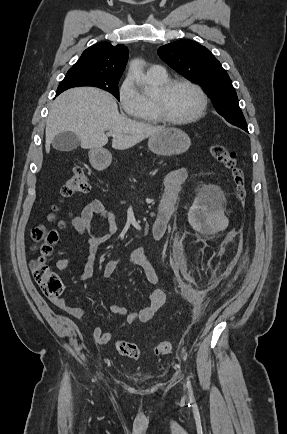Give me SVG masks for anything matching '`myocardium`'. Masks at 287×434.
Returning a JSON list of instances; mask_svg holds the SVG:
<instances>
[{
	"label": "myocardium",
	"mask_w": 287,
	"mask_h": 434,
	"mask_svg": "<svg viewBox=\"0 0 287 434\" xmlns=\"http://www.w3.org/2000/svg\"><path fill=\"white\" fill-rule=\"evenodd\" d=\"M184 85L193 89L199 97V107L197 111L190 117L183 119H175L170 117L162 101L158 98H153L154 107L160 120L172 125H185L199 120L205 113L207 108V96L203 89L196 83L182 78L168 79L166 82L159 85V90L166 94L176 86Z\"/></svg>",
	"instance_id": "myocardium-1"
}]
</instances>
